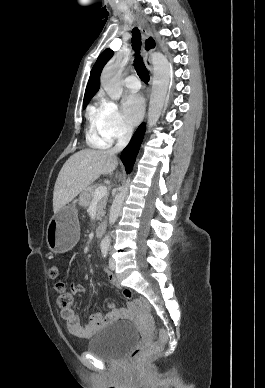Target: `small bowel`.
Listing matches in <instances>:
<instances>
[{
    "instance_id": "small-bowel-1",
    "label": "small bowel",
    "mask_w": 265,
    "mask_h": 388,
    "mask_svg": "<svg viewBox=\"0 0 265 388\" xmlns=\"http://www.w3.org/2000/svg\"><path fill=\"white\" fill-rule=\"evenodd\" d=\"M107 280L111 286L115 288L119 287L113 274L107 273ZM70 290L74 294H81L84 292V287L78 283H71ZM122 315L123 313L120 310H115L108 314L96 313L89 318L88 323L83 324L79 315L72 308L62 309L61 311V317L66 322L68 331L82 339L92 337L103 326L120 318Z\"/></svg>"
}]
</instances>
